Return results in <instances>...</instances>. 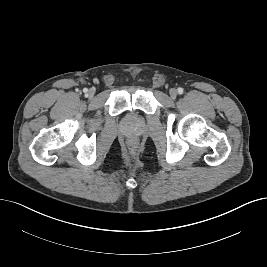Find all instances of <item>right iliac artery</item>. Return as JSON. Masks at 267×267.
<instances>
[{"mask_svg":"<svg viewBox=\"0 0 267 267\" xmlns=\"http://www.w3.org/2000/svg\"><path fill=\"white\" fill-rule=\"evenodd\" d=\"M83 91H84V92H87V89L85 88Z\"/></svg>","mask_w":267,"mask_h":267,"instance_id":"obj_1","label":"right iliac artery"}]
</instances>
